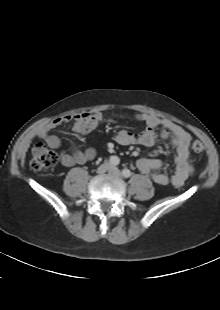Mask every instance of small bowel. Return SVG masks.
<instances>
[{
	"mask_svg": "<svg viewBox=\"0 0 220 310\" xmlns=\"http://www.w3.org/2000/svg\"><path fill=\"white\" fill-rule=\"evenodd\" d=\"M135 118L146 124V129L138 135L128 130H118L112 135V140L119 145L138 144L151 146L154 144L157 134L156 128H162L160 137L168 140L175 148V170L170 177L165 173V164L155 158H140L136 165L139 171L151 178L158 185H167L171 182L180 187L188 180L193 172L189 144L190 134L179 124L159 118L155 115L138 112ZM73 122V131L80 135H87L104 122L113 123L115 119L105 118L103 113L92 111L77 113L73 116L55 118L44 124L38 131V137L43 139L51 148L58 149L61 146L59 137L50 132L62 124ZM97 152L94 148H87L84 151L72 149L70 152L61 151L60 161L64 166L71 167L92 161L96 158Z\"/></svg>",
	"mask_w": 220,
	"mask_h": 310,
	"instance_id": "small-bowel-1",
	"label": "small bowel"
}]
</instances>
